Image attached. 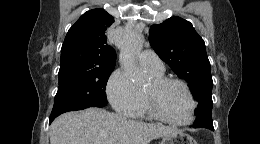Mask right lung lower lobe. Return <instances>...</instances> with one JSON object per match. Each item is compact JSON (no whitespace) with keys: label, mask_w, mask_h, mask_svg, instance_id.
<instances>
[{"label":"right lung lower lobe","mask_w":260,"mask_h":144,"mask_svg":"<svg viewBox=\"0 0 260 144\" xmlns=\"http://www.w3.org/2000/svg\"><path fill=\"white\" fill-rule=\"evenodd\" d=\"M55 118H50V123L54 120Z\"/></svg>","instance_id":"right-lung-lower-lobe-1"}]
</instances>
